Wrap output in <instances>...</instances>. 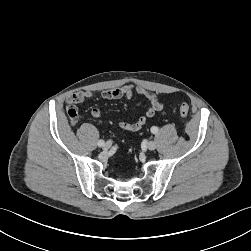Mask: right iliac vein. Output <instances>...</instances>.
<instances>
[{
    "instance_id": "right-iliac-vein-1",
    "label": "right iliac vein",
    "mask_w": 251,
    "mask_h": 251,
    "mask_svg": "<svg viewBox=\"0 0 251 251\" xmlns=\"http://www.w3.org/2000/svg\"><path fill=\"white\" fill-rule=\"evenodd\" d=\"M110 147H111V143H110V142H106V143L103 145V149H104V150H108V149H110Z\"/></svg>"
}]
</instances>
